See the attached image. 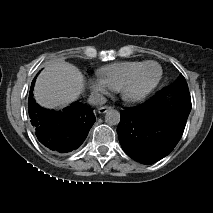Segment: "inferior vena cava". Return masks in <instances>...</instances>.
<instances>
[{"mask_svg":"<svg viewBox=\"0 0 213 213\" xmlns=\"http://www.w3.org/2000/svg\"><path fill=\"white\" fill-rule=\"evenodd\" d=\"M107 102V99L100 93H91L88 98V103L92 105H103Z\"/></svg>","mask_w":213,"mask_h":213,"instance_id":"obj_1","label":"inferior vena cava"}]
</instances>
